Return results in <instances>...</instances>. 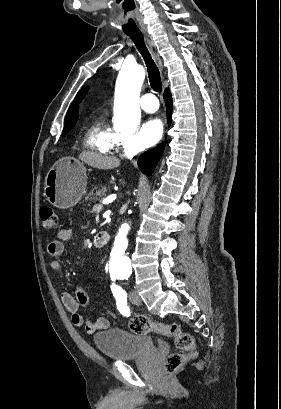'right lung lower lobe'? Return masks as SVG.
<instances>
[{
    "label": "right lung lower lobe",
    "mask_w": 281,
    "mask_h": 409,
    "mask_svg": "<svg viewBox=\"0 0 281 409\" xmlns=\"http://www.w3.org/2000/svg\"><path fill=\"white\" fill-rule=\"evenodd\" d=\"M163 97L166 103L168 124L170 125L172 113V96L168 89L164 91ZM164 148L165 145L161 144L141 155L138 160V166L144 174L151 175L160 157L162 156Z\"/></svg>",
    "instance_id": "98d812e1"
}]
</instances>
